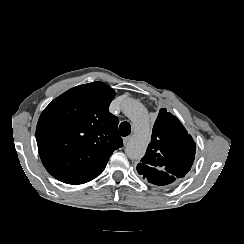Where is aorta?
<instances>
[{
  "label": "aorta",
  "instance_id": "1",
  "mask_svg": "<svg viewBox=\"0 0 244 244\" xmlns=\"http://www.w3.org/2000/svg\"><path fill=\"white\" fill-rule=\"evenodd\" d=\"M122 109L134 127V133L126 145L125 153L129 159L139 160L143 157L150 140L148 114L140 102L132 99L126 100Z\"/></svg>",
  "mask_w": 244,
  "mask_h": 244
}]
</instances>
